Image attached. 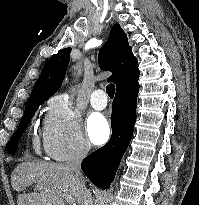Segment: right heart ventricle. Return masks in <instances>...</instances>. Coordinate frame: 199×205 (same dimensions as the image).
<instances>
[{"label":"right heart ventricle","mask_w":199,"mask_h":205,"mask_svg":"<svg viewBox=\"0 0 199 205\" xmlns=\"http://www.w3.org/2000/svg\"><path fill=\"white\" fill-rule=\"evenodd\" d=\"M34 144L36 145V140H34Z\"/></svg>","instance_id":"right-heart-ventricle-1"}]
</instances>
